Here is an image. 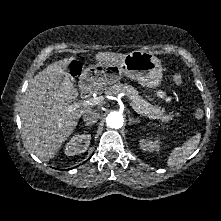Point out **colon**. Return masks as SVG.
I'll return each mask as SVG.
<instances>
[{"instance_id": "obj_1", "label": "colon", "mask_w": 221, "mask_h": 221, "mask_svg": "<svg viewBox=\"0 0 221 221\" xmlns=\"http://www.w3.org/2000/svg\"><path fill=\"white\" fill-rule=\"evenodd\" d=\"M71 72H72L73 75H77L80 72V67L78 65H73V67L71 69ZM173 81H174L175 84L179 85V84L182 83L183 80H182L181 75L175 74L173 76ZM203 115H204V111L201 108L195 109L194 117L196 119H201L203 117Z\"/></svg>"}]
</instances>
